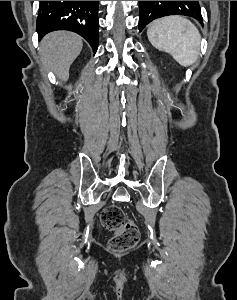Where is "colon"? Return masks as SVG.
<instances>
[{"mask_svg": "<svg viewBox=\"0 0 237 300\" xmlns=\"http://www.w3.org/2000/svg\"><path fill=\"white\" fill-rule=\"evenodd\" d=\"M101 223L114 234L109 240V248L116 253L128 251L135 247L140 239V232L132 220H126L123 210L117 205L103 209Z\"/></svg>", "mask_w": 237, "mask_h": 300, "instance_id": "5ec220e1", "label": "colon"}]
</instances>
